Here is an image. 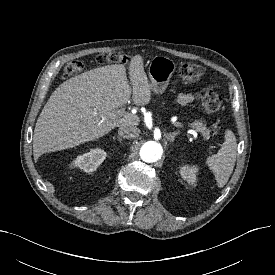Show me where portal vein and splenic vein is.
Returning a JSON list of instances; mask_svg holds the SVG:
<instances>
[{
	"label": "portal vein and splenic vein",
	"mask_w": 275,
	"mask_h": 275,
	"mask_svg": "<svg viewBox=\"0 0 275 275\" xmlns=\"http://www.w3.org/2000/svg\"><path fill=\"white\" fill-rule=\"evenodd\" d=\"M189 133L194 134L195 132H194V130H189Z\"/></svg>",
	"instance_id": "portal-vein-and-splenic-vein-1"
}]
</instances>
